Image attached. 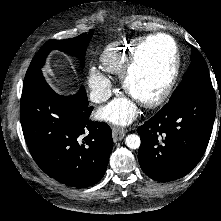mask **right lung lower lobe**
<instances>
[{"label": "right lung lower lobe", "mask_w": 221, "mask_h": 221, "mask_svg": "<svg viewBox=\"0 0 221 221\" xmlns=\"http://www.w3.org/2000/svg\"><path fill=\"white\" fill-rule=\"evenodd\" d=\"M92 110L83 87L73 96L58 95L42 73L23 85L20 119L29 151L48 176L67 186L94 185L107 169L112 132L89 119Z\"/></svg>", "instance_id": "98d812e1"}]
</instances>
